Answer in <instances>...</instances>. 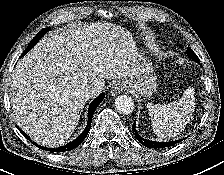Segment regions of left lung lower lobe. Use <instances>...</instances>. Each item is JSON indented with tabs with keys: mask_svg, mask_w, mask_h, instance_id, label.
I'll return each mask as SVG.
<instances>
[{
	"mask_svg": "<svg viewBox=\"0 0 224 175\" xmlns=\"http://www.w3.org/2000/svg\"><path fill=\"white\" fill-rule=\"evenodd\" d=\"M199 63V62H197ZM132 130H134L135 132V137L137 138V140L144 146L148 147V148H165V147H170L175 145L176 143H179L181 140H176V141H171V142H156V141H151V140H147L142 138L136 131L135 129V122L133 123L132 126Z\"/></svg>",
	"mask_w": 224,
	"mask_h": 175,
	"instance_id": "0a47b994",
	"label": "left lung lower lobe"
}]
</instances>
